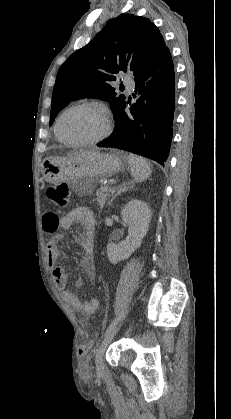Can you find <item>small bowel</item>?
Instances as JSON below:
<instances>
[{"label":"small bowel","mask_w":231,"mask_h":419,"mask_svg":"<svg viewBox=\"0 0 231 419\" xmlns=\"http://www.w3.org/2000/svg\"><path fill=\"white\" fill-rule=\"evenodd\" d=\"M76 223H80L82 227L81 233L74 236L75 242L84 251L82 266L91 268L95 237V217L93 212L86 207H78L61 218L51 213L44 215L42 218L43 229L53 234L47 244V261L48 266L52 269L55 286L58 290L62 291L66 302L80 315L89 316L98 310L100 305L99 300L96 298L84 299L80 295V290L83 285L81 279L75 282L73 291L66 289L67 277L65 269L57 264V259L60 255L59 244L62 236L56 233V230L58 228L67 230Z\"/></svg>","instance_id":"c3829d8e"}]
</instances>
